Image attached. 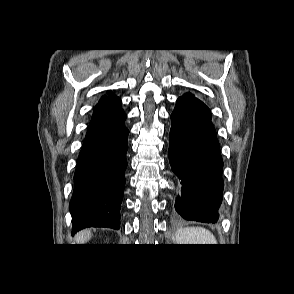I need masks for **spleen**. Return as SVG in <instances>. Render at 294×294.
I'll return each instance as SVG.
<instances>
[{"instance_id":"obj_1","label":"spleen","mask_w":294,"mask_h":294,"mask_svg":"<svg viewBox=\"0 0 294 294\" xmlns=\"http://www.w3.org/2000/svg\"><path fill=\"white\" fill-rule=\"evenodd\" d=\"M177 244H217L215 236L203 227L180 228L176 232Z\"/></svg>"}]
</instances>
